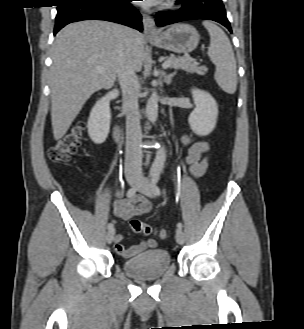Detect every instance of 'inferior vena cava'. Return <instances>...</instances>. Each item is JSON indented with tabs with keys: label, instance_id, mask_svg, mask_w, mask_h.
<instances>
[{
	"label": "inferior vena cava",
	"instance_id": "inferior-vena-cava-1",
	"mask_svg": "<svg viewBox=\"0 0 304 329\" xmlns=\"http://www.w3.org/2000/svg\"><path fill=\"white\" fill-rule=\"evenodd\" d=\"M131 40L128 28L121 30V52L117 76L122 89L123 111L126 115V161L127 178H142V151L139 147L142 134L138 110L140 85L131 55Z\"/></svg>",
	"mask_w": 304,
	"mask_h": 329
}]
</instances>
